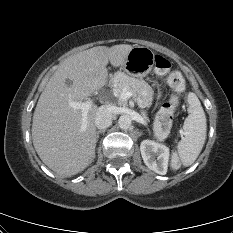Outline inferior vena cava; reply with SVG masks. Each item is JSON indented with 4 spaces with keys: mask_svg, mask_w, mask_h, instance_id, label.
I'll use <instances>...</instances> for the list:
<instances>
[{
    "mask_svg": "<svg viewBox=\"0 0 233 233\" xmlns=\"http://www.w3.org/2000/svg\"><path fill=\"white\" fill-rule=\"evenodd\" d=\"M114 115L112 106L103 105L99 107L95 116V126L100 130L108 128L112 124Z\"/></svg>",
    "mask_w": 233,
    "mask_h": 233,
    "instance_id": "602c4592",
    "label": "inferior vena cava"
}]
</instances>
